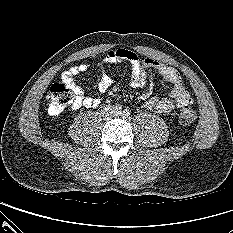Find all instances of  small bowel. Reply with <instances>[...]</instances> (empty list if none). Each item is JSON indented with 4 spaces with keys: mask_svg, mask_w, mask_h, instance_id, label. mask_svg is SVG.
<instances>
[{
    "mask_svg": "<svg viewBox=\"0 0 233 233\" xmlns=\"http://www.w3.org/2000/svg\"><path fill=\"white\" fill-rule=\"evenodd\" d=\"M127 61L130 63L132 72L129 80V85L132 88H142L147 83V69H154L166 81H168L172 88L170 98L157 99L150 98L144 103V108L147 110L156 111L160 114H166L176 108H181L186 105H191L193 100L189 92L185 89L179 73L172 67L162 64L151 58L139 57L135 52L128 49L111 50L100 64L101 66L107 64H116ZM87 64H80L73 66L64 72L63 82L73 91L75 99L72 105L73 109L81 107L96 108L100 105L101 100L96 97L86 96L83 89L76 83V77L88 71ZM113 84V79L103 74L98 82V90L101 93L107 92Z\"/></svg>",
    "mask_w": 233,
    "mask_h": 233,
    "instance_id": "obj_1",
    "label": "small bowel"
}]
</instances>
